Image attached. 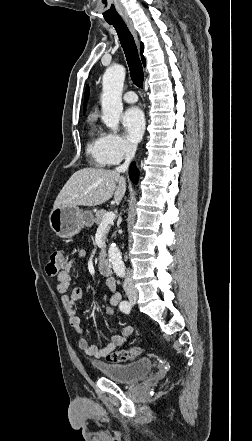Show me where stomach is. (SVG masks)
<instances>
[{
	"mask_svg": "<svg viewBox=\"0 0 252 441\" xmlns=\"http://www.w3.org/2000/svg\"><path fill=\"white\" fill-rule=\"evenodd\" d=\"M94 221L92 212L84 211L77 206L54 207L49 214L51 229L60 238H70L84 227H90Z\"/></svg>",
	"mask_w": 252,
	"mask_h": 441,
	"instance_id": "1",
	"label": "stomach"
}]
</instances>
